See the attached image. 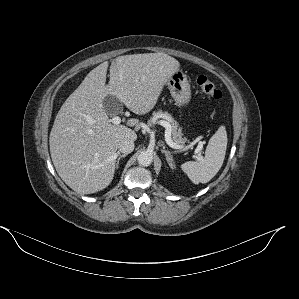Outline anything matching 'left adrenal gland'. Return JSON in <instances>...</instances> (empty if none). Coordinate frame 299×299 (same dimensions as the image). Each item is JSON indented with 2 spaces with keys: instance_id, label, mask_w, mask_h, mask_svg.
Here are the masks:
<instances>
[{
  "instance_id": "a2214340",
  "label": "left adrenal gland",
  "mask_w": 299,
  "mask_h": 299,
  "mask_svg": "<svg viewBox=\"0 0 299 299\" xmlns=\"http://www.w3.org/2000/svg\"><path fill=\"white\" fill-rule=\"evenodd\" d=\"M161 152L165 154L166 161L169 164L170 168L174 169L175 165L173 164V157H172L171 153L169 151L165 150V147H163Z\"/></svg>"
}]
</instances>
